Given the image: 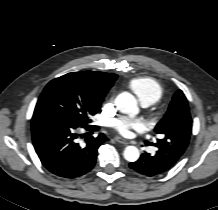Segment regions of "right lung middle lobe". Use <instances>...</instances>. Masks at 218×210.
Here are the masks:
<instances>
[{
  "mask_svg": "<svg viewBox=\"0 0 218 210\" xmlns=\"http://www.w3.org/2000/svg\"><path fill=\"white\" fill-rule=\"evenodd\" d=\"M101 102L54 79L44 88L34 114H57L71 119L76 124L87 125L91 123L89 116L97 113Z\"/></svg>",
  "mask_w": 218,
  "mask_h": 210,
  "instance_id": "1",
  "label": "right lung middle lobe"
}]
</instances>
